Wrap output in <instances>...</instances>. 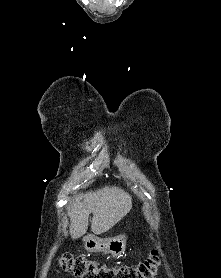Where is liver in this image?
Returning a JSON list of instances; mask_svg holds the SVG:
<instances>
[{
    "instance_id": "6515ba94",
    "label": "liver",
    "mask_w": 221,
    "mask_h": 278,
    "mask_svg": "<svg viewBox=\"0 0 221 278\" xmlns=\"http://www.w3.org/2000/svg\"><path fill=\"white\" fill-rule=\"evenodd\" d=\"M83 199V201H81ZM132 208V198L123 189L112 186L78 196L68 209L73 239L82 237L88 229L89 214H93L91 230L101 234L115 226Z\"/></svg>"
}]
</instances>
